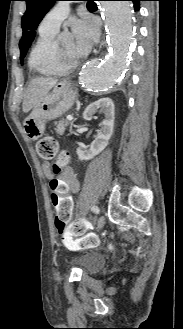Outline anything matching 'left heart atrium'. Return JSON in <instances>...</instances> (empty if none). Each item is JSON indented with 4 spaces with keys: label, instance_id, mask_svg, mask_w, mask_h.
I'll use <instances>...</instances> for the list:
<instances>
[{
    "label": "left heart atrium",
    "instance_id": "1",
    "mask_svg": "<svg viewBox=\"0 0 183 329\" xmlns=\"http://www.w3.org/2000/svg\"><path fill=\"white\" fill-rule=\"evenodd\" d=\"M76 49L86 54L98 39L99 30L94 20L90 18L76 20L72 24Z\"/></svg>",
    "mask_w": 183,
    "mask_h": 329
}]
</instances>
